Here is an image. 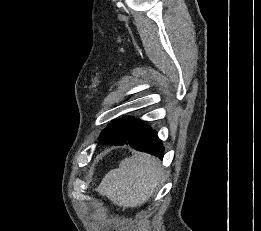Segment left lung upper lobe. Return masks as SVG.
I'll list each match as a JSON object with an SVG mask.
<instances>
[{"label": "left lung upper lobe", "mask_w": 261, "mask_h": 231, "mask_svg": "<svg viewBox=\"0 0 261 231\" xmlns=\"http://www.w3.org/2000/svg\"><path fill=\"white\" fill-rule=\"evenodd\" d=\"M152 129L146 126L141 120L130 118H122L111 122L104 129L99 137L102 144H110L116 140L124 138L143 139Z\"/></svg>", "instance_id": "obj_1"}]
</instances>
